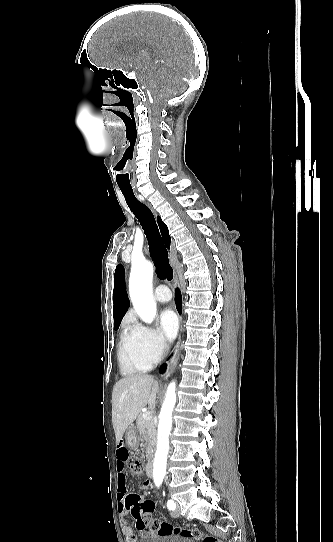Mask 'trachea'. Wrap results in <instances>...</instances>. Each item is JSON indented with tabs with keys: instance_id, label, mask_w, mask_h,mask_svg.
Wrapping results in <instances>:
<instances>
[{
	"instance_id": "trachea-1",
	"label": "trachea",
	"mask_w": 333,
	"mask_h": 542,
	"mask_svg": "<svg viewBox=\"0 0 333 542\" xmlns=\"http://www.w3.org/2000/svg\"><path fill=\"white\" fill-rule=\"evenodd\" d=\"M131 212L139 220L147 236L151 256L156 265V272L162 279L171 280L173 270L169 265L168 253L159 233L155 218L150 208L141 203L132 189H121Z\"/></svg>"
}]
</instances>
